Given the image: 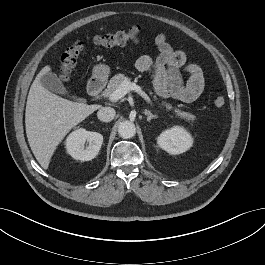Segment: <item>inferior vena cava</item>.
Wrapping results in <instances>:
<instances>
[{
	"instance_id": "inferior-vena-cava-1",
	"label": "inferior vena cava",
	"mask_w": 265,
	"mask_h": 265,
	"mask_svg": "<svg viewBox=\"0 0 265 265\" xmlns=\"http://www.w3.org/2000/svg\"><path fill=\"white\" fill-rule=\"evenodd\" d=\"M115 110L111 107H101L97 112V117L102 122H110L115 117Z\"/></svg>"
}]
</instances>
